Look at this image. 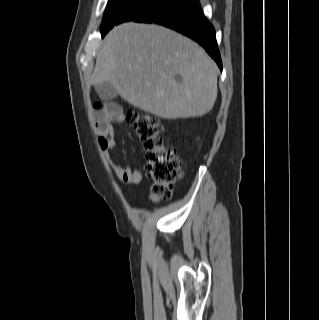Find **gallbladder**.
I'll return each mask as SVG.
<instances>
[{
	"label": "gallbladder",
	"instance_id": "gallbladder-1",
	"mask_svg": "<svg viewBox=\"0 0 319 320\" xmlns=\"http://www.w3.org/2000/svg\"><path fill=\"white\" fill-rule=\"evenodd\" d=\"M95 89L100 98L105 101L112 100L118 95L116 89L109 82L98 84Z\"/></svg>",
	"mask_w": 319,
	"mask_h": 320
}]
</instances>
